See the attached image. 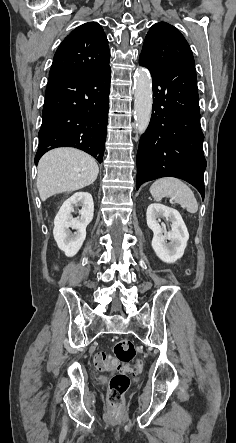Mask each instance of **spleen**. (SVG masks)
<instances>
[{
  "instance_id": "1",
  "label": "spleen",
  "mask_w": 236,
  "mask_h": 443,
  "mask_svg": "<svg viewBox=\"0 0 236 443\" xmlns=\"http://www.w3.org/2000/svg\"><path fill=\"white\" fill-rule=\"evenodd\" d=\"M150 193L156 201L168 197L185 207L189 213L198 211V203L193 191L181 180L165 177L156 180L150 187Z\"/></svg>"
}]
</instances>
